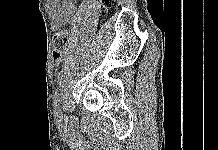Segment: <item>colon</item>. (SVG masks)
Here are the masks:
<instances>
[{"mask_svg":"<svg viewBox=\"0 0 218 150\" xmlns=\"http://www.w3.org/2000/svg\"><path fill=\"white\" fill-rule=\"evenodd\" d=\"M114 0H101L100 11L105 13L113 4ZM69 40L67 30H60L54 35L53 39V57L58 59L66 49Z\"/></svg>","mask_w":218,"mask_h":150,"instance_id":"obj_1","label":"colon"}]
</instances>
